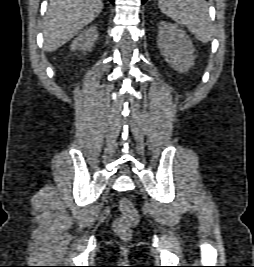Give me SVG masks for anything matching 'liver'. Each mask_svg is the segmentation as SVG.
I'll use <instances>...</instances> for the list:
<instances>
[{"mask_svg": "<svg viewBox=\"0 0 254 267\" xmlns=\"http://www.w3.org/2000/svg\"><path fill=\"white\" fill-rule=\"evenodd\" d=\"M102 9L101 0H50L43 21L44 50L54 51L67 43Z\"/></svg>", "mask_w": 254, "mask_h": 267, "instance_id": "6515ba94", "label": "liver"}]
</instances>
